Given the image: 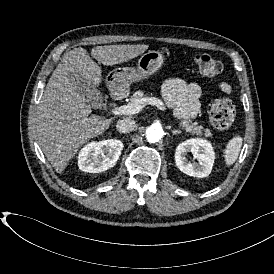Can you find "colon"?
<instances>
[{"mask_svg": "<svg viewBox=\"0 0 274 274\" xmlns=\"http://www.w3.org/2000/svg\"><path fill=\"white\" fill-rule=\"evenodd\" d=\"M194 63L199 72L208 77H219L223 72L222 63L207 53L196 54ZM208 116L214 128L225 131L235 122L236 107L231 100L219 99L210 105Z\"/></svg>", "mask_w": 274, "mask_h": 274, "instance_id": "colon-1", "label": "colon"}]
</instances>
